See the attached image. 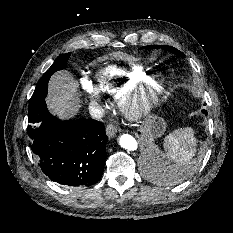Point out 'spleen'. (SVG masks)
<instances>
[{
  "mask_svg": "<svg viewBox=\"0 0 233 233\" xmlns=\"http://www.w3.org/2000/svg\"><path fill=\"white\" fill-rule=\"evenodd\" d=\"M164 148L167 156L176 162L179 169L182 168L195 156L196 139L193 130L188 127L174 130L165 137ZM169 174L172 172L169 171Z\"/></svg>",
  "mask_w": 233,
  "mask_h": 233,
  "instance_id": "obj_1",
  "label": "spleen"
}]
</instances>
